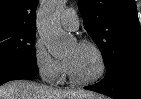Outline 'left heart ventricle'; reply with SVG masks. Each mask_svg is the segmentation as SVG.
I'll use <instances>...</instances> for the list:
<instances>
[{
    "mask_svg": "<svg viewBox=\"0 0 141 99\" xmlns=\"http://www.w3.org/2000/svg\"><path fill=\"white\" fill-rule=\"evenodd\" d=\"M74 74L80 79H90L100 70V62L96 52L86 46L74 45L65 56Z\"/></svg>",
    "mask_w": 141,
    "mask_h": 99,
    "instance_id": "1",
    "label": "left heart ventricle"
}]
</instances>
